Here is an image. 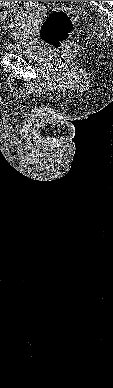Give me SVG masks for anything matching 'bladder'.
<instances>
[{
	"instance_id": "31cf9c89",
	"label": "bladder",
	"mask_w": 113,
	"mask_h": 388,
	"mask_svg": "<svg viewBox=\"0 0 113 388\" xmlns=\"http://www.w3.org/2000/svg\"><path fill=\"white\" fill-rule=\"evenodd\" d=\"M41 21L27 20L15 24V32L12 33L14 42L5 45V49L10 53L21 55L30 60H43L52 50L50 46L32 39V35L37 30Z\"/></svg>"
}]
</instances>
